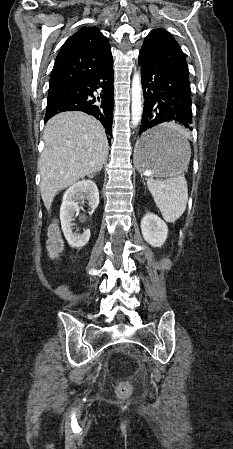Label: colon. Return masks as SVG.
<instances>
[{
    "label": "colon",
    "mask_w": 233,
    "mask_h": 449,
    "mask_svg": "<svg viewBox=\"0 0 233 449\" xmlns=\"http://www.w3.org/2000/svg\"><path fill=\"white\" fill-rule=\"evenodd\" d=\"M48 248L52 254H57L60 251L61 242L56 235L53 234L49 238ZM116 392L118 397L128 398L132 394V388L127 381L123 380L117 385Z\"/></svg>",
    "instance_id": "5ec220e1"
}]
</instances>
